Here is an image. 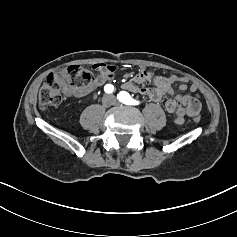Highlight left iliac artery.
Segmentation results:
<instances>
[{
    "instance_id": "left-iliac-artery-1",
    "label": "left iliac artery",
    "mask_w": 237,
    "mask_h": 237,
    "mask_svg": "<svg viewBox=\"0 0 237 237\" xmlns=\"http://www.w3.org/2000/svg\"><path fill=\"white\" fill-rule=\"evenodd\" d=\"M117 99H119L120 102L126 104V105H138L139 102L134 100L130 94L126 91H121L118 95H117Z\"/></svg>"
}]
</instances>
